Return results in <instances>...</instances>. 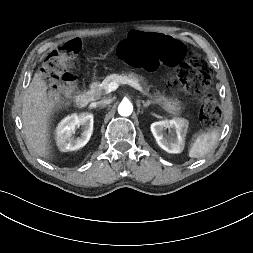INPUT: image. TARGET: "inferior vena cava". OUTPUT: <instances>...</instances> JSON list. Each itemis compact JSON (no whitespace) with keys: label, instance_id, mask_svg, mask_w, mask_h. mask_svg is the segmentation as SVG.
I'll return each mask as SVG.
<instances>
[{"label":"inferior vena cava","instance_id":"602c4592","mask_svg":"<svg viewBox=\"0 0 253 253\" xmlns=\"http://www.w3.org/2000/svg\"><path fill=\"white\" fill-rule=\"evenodd\" d=\"M109 103H110V100L105 99V100L99 101L98 105L101 106V107H104V106L108 105Z\"/></svg>","mask_w":253,"mask_h":253}]
</instances>
